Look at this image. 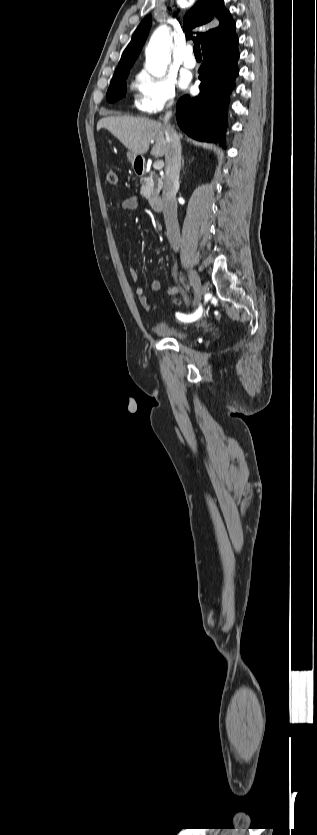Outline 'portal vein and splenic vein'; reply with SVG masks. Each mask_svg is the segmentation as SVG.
Returning a JSON list of instances; mask_svg holds the SVG:
<instances>
[{
  "mask_svg": "<svg viewBox=\"0 0 317 835\" xmlns=\"http://www.w3.org/2000/svg\"><path fill=\"white\" fill-rule=\"evenodd\" d=\"M151 142H154V140H151ZM163 166H164V162H163L162 160H157V161L153 164V168H154V169H158V170H159V169H161Z\"/></svg>",
  "mask_w": 317,
  "mask_h": 835,
  "instance_id": "portal-vein-and-splenic-vein-1",
  "label": "portal vein and splenic vein"
}]
</instances>
